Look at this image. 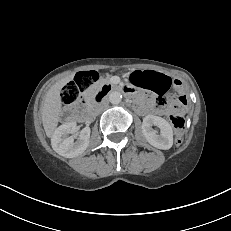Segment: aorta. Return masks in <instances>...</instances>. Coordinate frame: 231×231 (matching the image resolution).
<instances>
[{
	"mask_svg": "<svg viewBox=\"0 0 231 231\" xmlns=\"http://www.w3.org/2000/svg\"><path fill=\"white\" fill-rule=\"evenodd\" d=\"M109 101L114 104L117 105L122 101V94L119 91H112L109 95Z\"/></svg>",
	"mask_w": 231,
	"mask_h": 231,
	"instance_id": "1",
	"label": "aorta"
}]
</instances>
